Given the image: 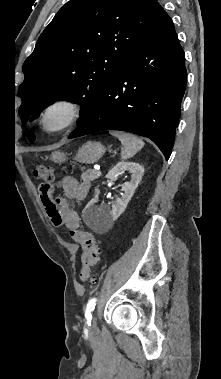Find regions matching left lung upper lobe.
<instances>
[{"label": "left lung upper lobe", "mask_w": 221, "mask_h": 379, "mask_svg": "<svg viewBox=\"0 0 221 379\" xmlns=\"http://www.w3.org/2000/svg\"><path fill=\"white\" fill-rule=\"evenodd\" d=\"M163 8L157 0H70L40 35L23 65L18 92L25 124L66 99L81 105L78 124L106 82L145 40ZM32 143L33 132L26 130Z\"/></svg>", "instance_id": "left-lung-upper-lobe-1"}]
</instances>
